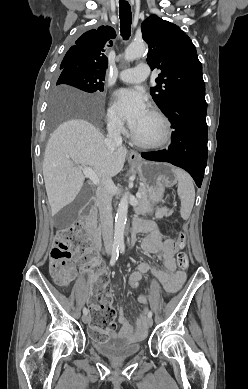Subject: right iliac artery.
<instances>
[{
	"label": "right iliac artery",
	"mask_w": 248,
	"mask_h": 389,
	"mask_svg": "<svg viewBox=\"0 0 248 389\" xmlns=\"http://www.w3.org/2000/svg\"><path fill=\"white\" fill-rule=\"evenodd\" d=\"M118 257H119V251H118V248H117L116 251L113 253V255L111 257V260H110V265L111 266L115 264V262L117 261ZM83 314H86V315L88 314L87 308L83 309Z\"/></svg>",
	"instance_id": "1"
}]
</instances>
